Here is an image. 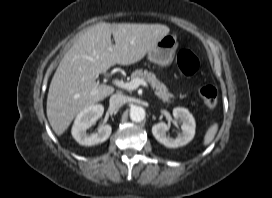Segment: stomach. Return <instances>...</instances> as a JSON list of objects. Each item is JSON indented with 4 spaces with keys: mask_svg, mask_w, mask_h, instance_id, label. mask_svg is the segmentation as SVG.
I'll use <instances>...</instances> for the list:
<instances>
[{
    "mask_svg": "<svg viewBox=\"0 0 272 198\" xmlns=\"http://www.w3.org/2000/svg\"><path fill=\"white\" fill-rule=\"evenodd\" d=\"M177 47V38L166 35L148 52V59L160 67L168 66L175 57Z\"/></svg>",
    "mask_w": 272,
    "mask_h": 198,
    "instance_id": "stomach-1",
    "label": "stomach"
}]
</instances>
